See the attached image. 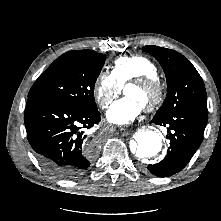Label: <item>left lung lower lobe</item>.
I'll return each mask as SVG.
<instances>
[{
	"label": "left lung lower lobe",
	"instance_id": "obj_1",
	"mask_svg": "<svg viewBox=\"0 0 221 221\" xmlns=\"http://www.w3.org/2000/svg\"><path fill=\"white\" fill-rule=\"evenodd\" d=\"M207 120L208 114L197 110L154 117L151 122L168 127L170 147L160 163L148 165L149 171L158 177H167L182 170L199 148Z\"/></svg>",
	"mask_w": 221,
	"mask_h": 221
}]
</instances>
